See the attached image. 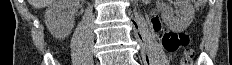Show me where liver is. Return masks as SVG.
<instances>
[{"label": "liver", "mask_w": 232, "mask_h": 65, "mask_svg": "<svg viewBox=\"0 0 232 65\" xmlns=\"http://www.w3.org/2000/svg\"><path fill=\"white\" fill-rule=\"evenodd\" d=\"M55 0H29V3L36 9L44 8L54 3Z\"/></svg>", "instance_id": "obj_1"}]
</instances>
